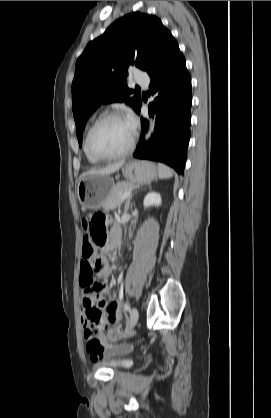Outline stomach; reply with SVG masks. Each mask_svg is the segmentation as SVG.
Returning a JSON list of instances; mask_svg holds the SVG:
<instances>
[{"instance_id": "obj_1", "label": "stomach", "mask_w": 271, "mask_h": 418, "mask_svg": "<svg viewBox=\"0 0 271 418\" xmlns=\"http://www.w3.org/2000/svg\"><path fill=\"white\" fill-rule=\"evenodd\" d=\"M127 182L147 184L157 178L158 169L149 161H129L122 166ZM114 187L113 179L105 175H88L80 179L77 196L82 209H99Z\"/></svg>"}]
</instances>
